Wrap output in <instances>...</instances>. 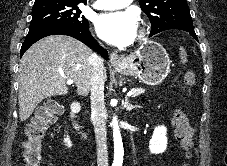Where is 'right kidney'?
I'll return each mask as SVG.
<instances>
[{
    "mask_svg": "<svg viewBox=\"0 0 227 166\" xmlns=\"http://www.w3.org/2000/svg\"><path fill=\"white\" fill-rule=\"evenodd\" d=\"M65 143L67 144L68 147L72 146V143H71L69 137L65 138Z\"/></svg>",
    "mask_w": 227,
    "mask_h": 166,
    "instance_id": "right-kidney-1",
    "label": "right kidney"
}]
</instances>
